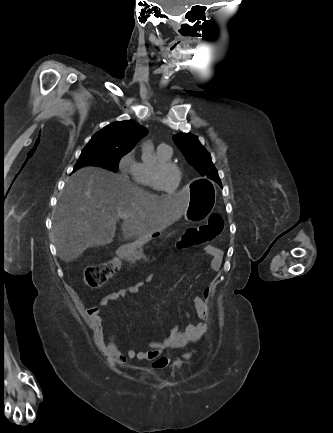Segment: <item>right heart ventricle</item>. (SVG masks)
<instances>
[{
	"label": "right heart ventricle",
	"instance_id": "e07e8e85",
	"mask_svg": "<svg viewBox=\"0 0 333 433\" xmlns=\"http://www.w3.org/2000/svg\"><path fill=\"white\" fill-rule=\"evenodd\" d=\"M171 159L170 155H167L159 150H157V162H169ZM154 165H149L146 163H139L138 171L135 176V181L137 184L149 188L154 191H158L159 189L154 184L152 178V169Z\"/></svg>",
	"mask_w": 333,
	"mask_h": 433
}]
</instances>
